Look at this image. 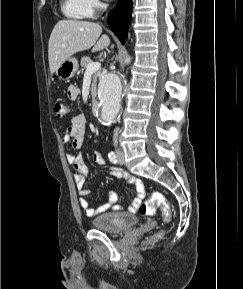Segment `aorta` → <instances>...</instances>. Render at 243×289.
<instances>
[{
    "instance_id": "762f6f07",
    "label": "aorta",
    "mask_w": 243,
    "mask_h": 289,
    "mask_svg": "<svg viewBox=\"0 0 243 289\" xmlns=\"http://www.w3.org/2000/svg\"><path fill=\"white\" fill-rule=\"evenodd\" d=\"M131 58H125V64L130 63ZM123 84L118 73L106 74L100 81L98 97L100 100V117L105 125L110 126L120 110Z\"/></svg>"
}]
</instances>
